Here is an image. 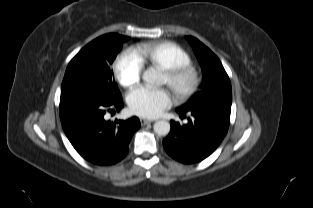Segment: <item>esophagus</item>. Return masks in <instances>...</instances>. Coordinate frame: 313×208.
Masks as SVG:
<instances>
[{
    "label": "esophagus",
    "mask_w": 313,
    "mask_h": 208,
    "mask_svg": "<svg viewBox=\"0 0 313 208\" xmlns=\"http://www.w3.org/2000/svg\"><path fill=\"white\" fill-rule=\"evenodd\" d=\"M140 122H141L142 126H145L146 124L153 122V120H148V119L142 118V119H140Z\"/></svg>",
    "instance_id": "34e87169"
}]
</instances>
